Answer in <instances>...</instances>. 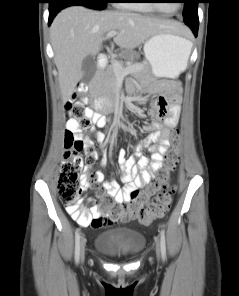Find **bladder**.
Segmentation results:
<instances>
[{
    "label": "bladder",
    "instance_id": "31cf9c89",
    "mask_svg": "<svg viewBox=\"0 0 239 296\" xmlns=\"http://www.w3.org/2000/svg\"><path fill=\"white\" fill-rule=\"evenodd\" d=\"M145 237L137 230L117 227L101 231L94 242L95 249L112 259H130L144 248Z\"/></svg>",
    "mask_w": 239,
    "mask_h": 296
}]
</instances>
